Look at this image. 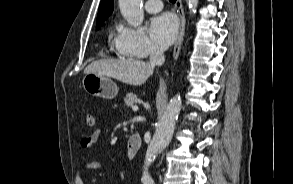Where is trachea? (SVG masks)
Instances as JSON below:
<instances>
[{
  "mask_svg": "<svg viewBox=\"0 0 293 184\" xmlns=\"http://www.w3.org/2000/svg\"><path fill=\"white\" fill-rule=\"evenodd\" d=\"M170 2H173V3H175L176 2V0H169Z\"/></svg>",
  "mask_w": 293,
  "mask_h": 184,
  "instance_id": "obj_1",
  "label": "trachea"
}]
</instances>
